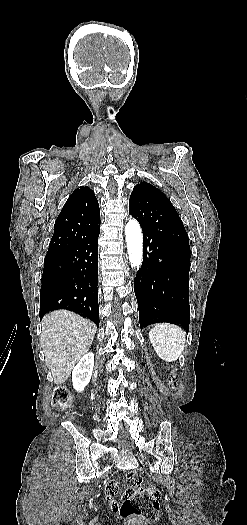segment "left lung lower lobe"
Returning a JSON list of instances; mask_svg holds the SVG:
<instances>
[{"label":"left lung lower lobe","mask_w":247,"mask_h":525,"mask_svg":"<svg viewBox=\"0 0 247 525\" xmlns=\"http://www.w3.org/2000/svg\"><path fill=\"white\" fill-rule=\"evenodd\" d=\"M142 231L144 257L134 284L140 328L171 322L188 332L190 252L160 231Z\"/></svg>","instance_id":"1"}]
</instances>
